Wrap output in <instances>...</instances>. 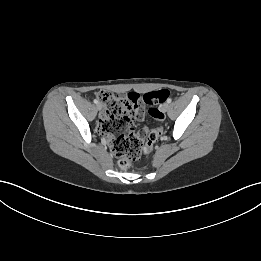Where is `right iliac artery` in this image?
Segmentation results:
<instances>
[{
    "mask_svg": "<svg viewBox=\"0 0 261 261\" xmlns=\"http://www.w3.org/2000/svg\"><path fill=\"white\" fill-rule=\"evenodd\" d=\"M94 103H95V104H98L99 102H98V100H97V99H94Z\"/></svg>",
    "mask_w": 261,
    "mask_h": 261,
    "instance_id": "1",
    "label": "right iliac artery"
}]
</instances>
